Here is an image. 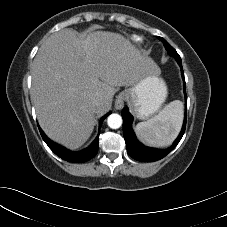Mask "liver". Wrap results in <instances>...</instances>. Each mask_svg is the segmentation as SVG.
Segmentation results:
<instances>
[{
	"label": "liver",
	"instance_id": "1",
	"mask_svg": "<svg viewBox=\"0 0 227 227\" xmlns=\"http://www.w3.org/2000/svg\"><path fill=\"white\" fill-rule=\"evenodd\" d=\"M159 72L155 62L124 36L97 31L79 38L72 29L52 34L34 58L31 99L46 135L70 148L81 147L121 86ZM102 99L100 107L93 100Z\"/></svg>",
	"mask_w": 227,
	"mask_h": 227
}]
</instances>
